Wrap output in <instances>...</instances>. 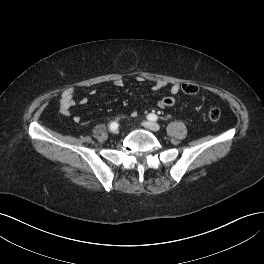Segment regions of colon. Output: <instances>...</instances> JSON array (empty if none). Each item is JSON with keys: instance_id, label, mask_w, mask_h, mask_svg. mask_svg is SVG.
Here are the masks:
<instances>
[{"instance_id": "5ec220e1", "label": "colon", "mask_w": 264, "mask_h": 264, "mask_svg": "<svg viewBox=\"0 0 264 264\" xmlns=\"http://www.w3.org/2000/svg\"><path fill=\"white\" fill-rule=\"evenodd\" d=\"M182 91L185 94L192 95V94L197 93L198 87L196 84H193V83H184L182 85ZM159 103L161 104L163 108H173L176 104V101L173 97L167 96V97L162 98L159 101ZM207 115L210 120L218 121L221 117V112L217 107H211L208 110Z\"/></svg>"}]
</instances>
